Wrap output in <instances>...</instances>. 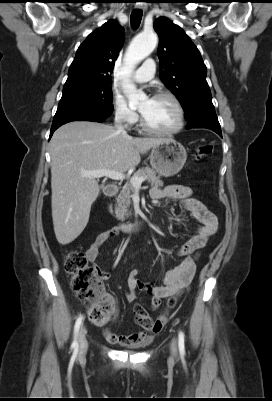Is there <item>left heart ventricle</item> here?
Masks as SVG:
<instances>
[{
	"label": "left heart ventricle",
	"instance_id": "left-heart-ventricle-1",
	"mask_svg": "<svg viewBox=\"0 0 272 401\" xmlns=\"http://www.w3.org/2000/svg\"><path fill=\"white\" fill-rule=\"evenodd\" d=\"M139 111L145 122L154 129L169 130L177 124V110L169 99H146L141 102Z\"/></svg>",
	"mask_w": 272,
	"mask_h": 401
}]
</instances>
